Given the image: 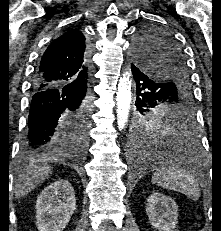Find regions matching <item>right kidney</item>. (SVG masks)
I'll use <instances>...</instances> for the list:
<instances>
[{"instance_id": "obj_1", "label": "right kidney", "mask_w": 221, "mask_h": 231, "mask_svg": "<svg viewBox=\"0 0 221 231\" xmlns=\"http://www.w3.org/2000/svg\"><path fill=\"white\" fill-rule=\"evenodd\" d=\"M76 209L74 189L67 180L48 185L37 199L36 225L39 231H63Z\"/></svg>"}]
</instances>
